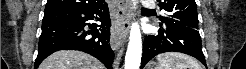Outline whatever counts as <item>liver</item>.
Segmentation results:
<instances>
[{"label":"liver","mask_w":246,"mask_h":69,"mask_svg":"<svg viewBox=\"0 0 246 69\" xmlns=\"http://www.w3.org/2000/svg\"><path fill=\"white\" fill-rule=\"evenodd\" d=\"M39 69H104V66L89 54L62 50L47 57Z\"/></svg>","instance_id":"liver-1"}]
</instances>
